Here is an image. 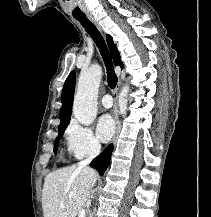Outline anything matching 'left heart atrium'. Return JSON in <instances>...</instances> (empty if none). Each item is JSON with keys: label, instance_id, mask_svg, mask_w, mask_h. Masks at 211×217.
Instances as JSON below:
<instances>
[{"label": "left heart atrium", "instance_id": "39dd6f15", "mask_svg": "<svg viewBox=\"0 0 211 217\" xmlns=\"http://www.w3.org/2000/svg\"><path fill=\"white\" fill-rule=\"evenodd\" d=\"M114 122L110 115L106 114L99 118L97 123V135L103 142H107L114 134Z\"/></svg>", "mask_w": 211, "mask_h": 217}]
</instances>
